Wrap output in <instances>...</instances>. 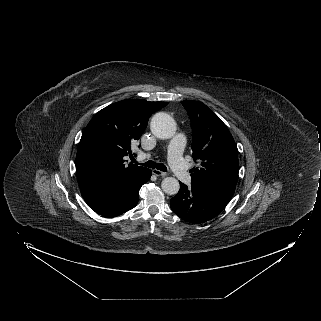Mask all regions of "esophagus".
<instances>
[{
    "mask_svg": "<svg viewBox=\"0 0 321 321\" xmlns=\"http://www.w3.org/2000/svg\"><path fill=\"white\" fill-rule=\"evenodd\" d=\"M152 173H153L154 175H156V176H162V177L167 176V173H166V172H162V171H160V170H158V169H153V170H152Z\"/></svg>",
    "mask_w": 321,
    "mask_h": 321,
    "instance_id": "1",
    "label": "esophagus"
}]
</instances>
